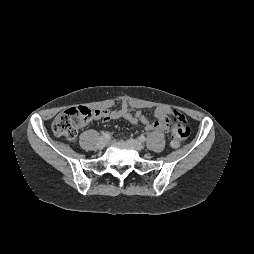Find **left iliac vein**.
Here are the masks:
<instances>
[{"label":"left iliac vein","instance_id":"obj_1","mask_svg":"<svg viewBox=\"0 0 254 254\" xmlns=\"http://www.w3.org/2000/svg\"><path fill=\"white\" fill-rule=\"evenodd\" d=\"M129 143L138 151L143 149V144L136 139H129Z\"/></svg>","mask_w":254,"mask_h":254}]
</instances>
